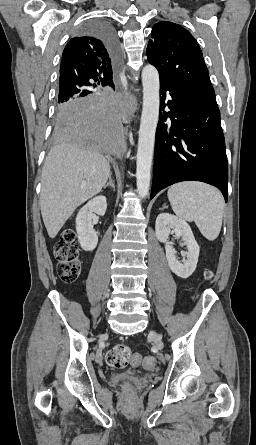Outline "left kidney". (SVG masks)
Wrapping results in <instances>:
<instances>
[{
  "label": "left kidney",
  "mask_w": 256,
  "mask_h": 445,
  "mask_svg": "<svg viewBox=\"0 0 256 445\" xmlns=\"http://www.w3.org/2000/svg\"><path fill=\"white\" fill-rule=\"evenodd\" d=\"M171 229L176 238H181L180 245L187 247L186 259L182 262L178 260L176 250L172 246V242L169 241ZM155 232L157 239L165 243L166 258L172 272L181 278H188L192 275L196 269L200 248L189 224L169 213H161L156 219Z\"/></svg>",
  "instance_id": "left-kidney-1"
}]
</instances>
